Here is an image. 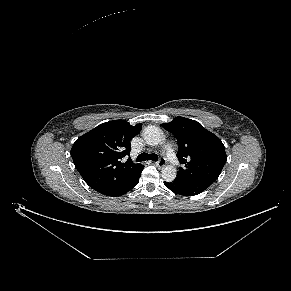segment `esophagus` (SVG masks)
<instances>
[{"label": "esophagus", "mask_w": 291, "mask_h": 291, "mask_svg": "<svg viewBox=\"0 0 291 291\" xmlns=\"http://www.w3.org/2000/svg\"><path fill=\"white\" fill-rule=\"evenodd\" d=\"M156 166L159 167V168H162L165 166L166 164V161L164 158H160L157 162H155Z\"/></svg>", "instance_id": "obj_1"}]
</instances>
